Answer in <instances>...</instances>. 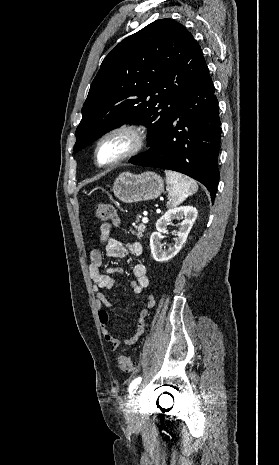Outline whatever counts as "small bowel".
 Returning a JSON list of instances; mask_svg holds the SVG:
<instances>
[{"instance_id": "1", "label": "small bowel", "mask_w": 279, "mask_h": 465, "mask_svg": "<svg viewBox=\"0 0 279 465\" xmlns=\"http://www.w3.org/2000/svg\"><path fill=\"white\" fill-rule=\"evenodd\" d=\"M100 242L104 245V253L109 258H124L129 254L139 257L143 251L141 243L137 241L126 244L120 239L113 237L112 227L109 223H102L100 225ZM121 272L122 269L119 267H104L100 249H91L89 276L93 281V291L96 296V306L98 309V320L101 332L111 351L116 350L121 343L133 345L137 342L144 332L147 310L154 305V295L149 293L147 295L146 308L139 313L137 318L134 334L126 338H120L114 335L108 327V310L111 308V304L102 291L111 289L115 284L114 276ZM133 274L135 276V281L131 283V288L134 293L140 294L144 289L149 287V277L147 275L146 266L142 262H137L133 266Z\"/></svg>"}]
</instances>
